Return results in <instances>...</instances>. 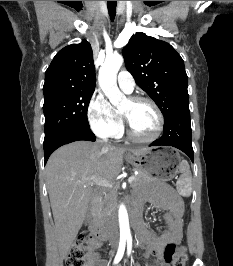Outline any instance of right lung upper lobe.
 Segmentation results:
<instances>
[{
	"mask_svg": "<svg viewBox=\"0 0 233 266\" xmlns=\"http://www.w3.org/2000/svg\"><path fill=\"white\" fill-rule=\"evenodd\" d=\"M95 67L89 42L60 50L45 73L44 97L56 93L95 90Z\"/></svg>",
	"mask_w": 233,
	"mask_h": 266,
	"instance_id": "1",
	"label": "right lung upper lobe"
}]
</instances>
